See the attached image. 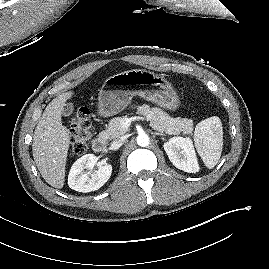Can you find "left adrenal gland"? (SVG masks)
<instances>
[{
  "mask_svg": "<svg viewBox=\"0 0 269 269\" xmlns=\"http://www.w3.org/2000/svg\"><path fill=\"white\" fill-rule=\"evenodd\" d=\"M152 134H154V135H158V136H164V134L163 133H159V132H152Z\"/></svg>",
  "mask_w": 269,
  "mask_h": 269,
  "instance_id": "obj_1",
  "label": "left adrenal gland"
}]
</instances>
